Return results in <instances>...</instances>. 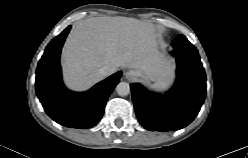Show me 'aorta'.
I'll return each instance as SVG.
<instances>
[{"instance_id":"1","label":"aorta","mask_w":248,"mask_h":158,"mask_svg":"<svg viewBox=\"0 0 248 158\" xmlns=\"http://www.w3.org/2000/svg\"><path fill=\"white\" fill-rule=\"evenodd\" d=\"M116 92L120 95V96H126L130 93V86L128 83L126 82H120L118 83V85L116 86Z\"/></svg>"}]
</instances>
